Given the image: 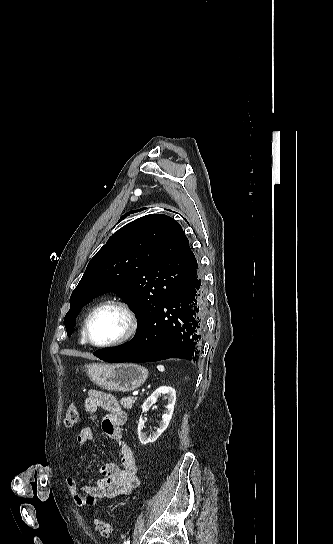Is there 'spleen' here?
<instances>
[{
	"instance_id": "3e777b00",
	"label": "spleen",
	"mask_w": 333,
	"mask_h": 544,
	"mask_svg": "<svg viewBox=\"0 0 333 544\" xmlns=\"http://www.w3.org/2000/svg\"><path fill=\"white\" fill-rule=\"evenodd\" d=\"M157 369L160 371V372H163L165 370L164 366L162 365H158L157 366Z\"/></svg>"
}]
</instances>
